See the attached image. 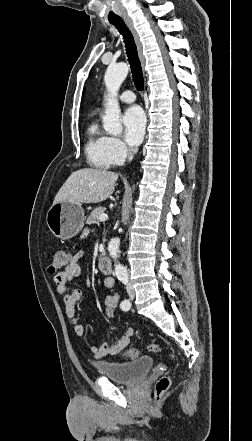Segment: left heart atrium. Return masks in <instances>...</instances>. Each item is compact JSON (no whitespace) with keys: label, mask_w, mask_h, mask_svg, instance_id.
<instances>
[{"label":"left heart atrium","mask_w":252,"mask_h":441,"mask_svg":"<svg viewBox=\"0 0 252 441\" xmlns=\"http://www.w3.org/2000/svg\"><path fill=\"white\" fill-rule=\"evenodd\" d=\"M125 141L132 147L137 146L145 132L146 117L139 106L129 107L122 118Z\"/></svg>","instance_id":"obj_1"}]
</instances>
